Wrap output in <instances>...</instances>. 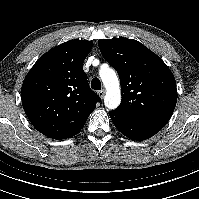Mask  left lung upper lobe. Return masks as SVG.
Segmentation results:
<instances>
[{
  "instance_id": "obj_1",
  "label": "left lung upper lobe",
  "mask_w": 199,
  "mask_h": 199,
  "mask_svg": "<svg viewBox=\"0 0 199 199\" xmlns=\"http://www.w3.org/2000/svg\"><path fill=\"white\" fill-rule=\"evenodd\" d=\"M104 59L118 72L122 101L116 112L160 131L177 102L176 81L162 59L136 40L101 39Z\"/></svg>"
}]
</instances>
